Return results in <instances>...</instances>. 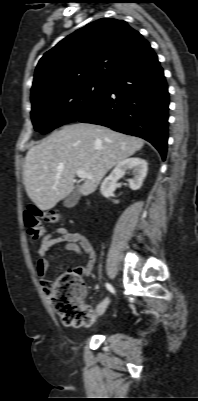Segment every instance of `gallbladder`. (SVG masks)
<instances>
[{
	"label": "gallbladder",
	"mask_w": 198,
	"mask_h": 401,
	"mask_svg": "<svg viewBox=\"0 0 198 401\" xmlns=\"http://www.w3.org/2000/svg\"><path fill=\"white\" fill-rule=\"evenodd\" d=\"M80 198V193L78 187H75L72 191V193L64 200V206L71 208L74 207Z\"/></svg>",
	"instance_id": "bac80fb5"
}]
</instances>
